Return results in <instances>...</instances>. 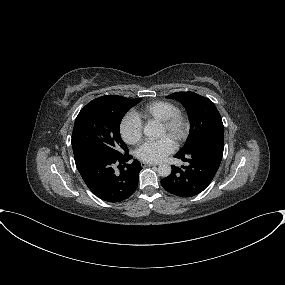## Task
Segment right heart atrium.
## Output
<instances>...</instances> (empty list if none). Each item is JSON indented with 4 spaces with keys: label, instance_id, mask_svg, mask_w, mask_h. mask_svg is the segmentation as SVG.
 Here are the masks:
<instances>
[{
    "label": "right heart atrium",
    "instance_id": "1",
    "mask_svg": "<svg viewBox=\"0 0 285 285\" xmlns=\"http://www.w3.org/2000/svg\"><path fill=\"white\" fill-rule=\"evenodd\" d=\"M119 132L126 143L136 145L142 139L143 124L134 113H128L120 121Z\"/></svg>",
    "mask_w": 285,
    "mask_h": 285
}]
</instances>
